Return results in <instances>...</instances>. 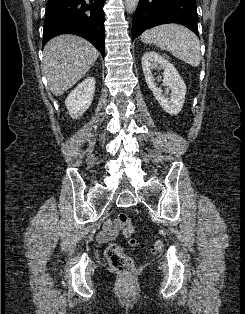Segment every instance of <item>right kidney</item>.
<instances>
[{
  "instance_id": "1",
  "label": "right kidney",
  "mask_w": 245,
  "mask_h": 314,
  "mask_svg": "<svg viewBox=\"0 0 245 314\" xmlns=\"http://www.w3.org/2000/svg\"><path fill=\"white\" fill-rule=\"evenodd\" d=\"M95 93L94 77H87L68 95L65 105L73 119L81 117L90 107Z\"/></svg>"
}]
</instances>
